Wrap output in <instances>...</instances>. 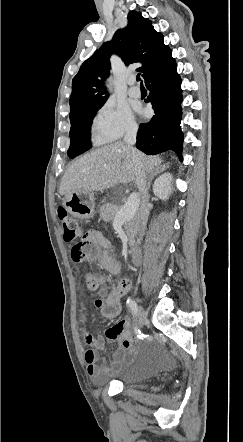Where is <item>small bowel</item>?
I'll list each match as a JSON object with an SVG mask.
<instances>
[{
	"label": "small bowel",
	"instance_id": "c3829d8e",
	"mask_svg": "<svg viewBox=\"0 0 243 442\" xmlns=\"http://www.w3.org/2000/svg\"><path fill=\"white\" fill-rule=\"evenodd\" d=\"M86 247L81 260H73L78 263L84 259L93 261L103 267L111 274L118 275L121 272V261L114 255L111 242L104 234L97 229H90L84 235ZM102 287L99 288L97 298L93 304L98 307L104 319H115L121 313V299L130 288L128 279L109 290L103 285L105 279L100 278ZM90 308L82 304L79 309V323L81 325L82 340L88 348L84 351L83 358L89 376L96 382H103L109 379L116 367L132 352L136 342L131 333V321L128 318L118 320L108 327L103 335L93 336L86 328L89 320ZM112 343L117 346L113 353L112 361L107 364L100 355L105 343Z\"/></svg>",
	"mask_w": 243,
	"mask_h": 442
}]
</instances>
